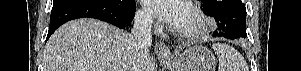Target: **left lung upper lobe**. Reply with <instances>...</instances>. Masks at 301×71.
Listing matches in <instances>:
<instances>
[{"mask_svg":"<svg viewBox=\"0 0 301 71\" xmlns=\"http://www.w3.org/2000/svg\"><path fill=\"white\" fill-rule=\"evenodd\" d=\"M222 0H201L203 8L205 11H208L209 9H211V7L213 6L214 3L219 2Z\"/></svg>","mask_w":301,"mask_h":71,"instance_id":"left-lung-upper-lobe-1","label":"left lung upper lobe"}]
</instances>
